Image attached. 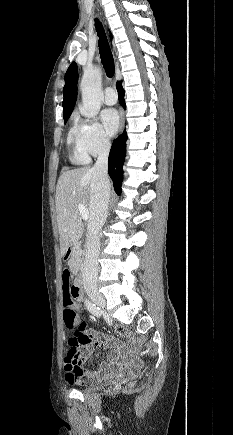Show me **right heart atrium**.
<instances>
[{"mask_svg": "<svg viewBox=\"0 0 233 435\" xmlns=\"http://www.w3.org/2000/svg\"><path fill=\"white\" fill-rule=\"evenodd\" d=\"M84 148L90 156H101L110 147V138L95 120H84Z\"/></svg>", "mask_w": 233, "mask_h": 435, "instance_id": "right-heart-atrium-1", "label": "right heart atrium"}]
</instances>
